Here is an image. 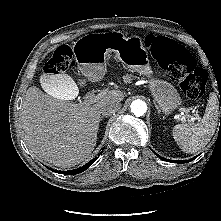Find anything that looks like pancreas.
<instances>
[{
  "label": "pancreas",
  "mask_w": 221,
  "mask_h": 221,
  "mask_svg": "<svg viewBox=\"0 0 221 221\" xmlns=\"http://www.w3.org/2000/svg\"><path fill=\"white\" fill-rule=\"evenodd\" d=\"M132 78H136V76L126 75L123 77L125 82H131Z\"/></svg>",
  "instance_id": "obj_1"
}]
</instances>
